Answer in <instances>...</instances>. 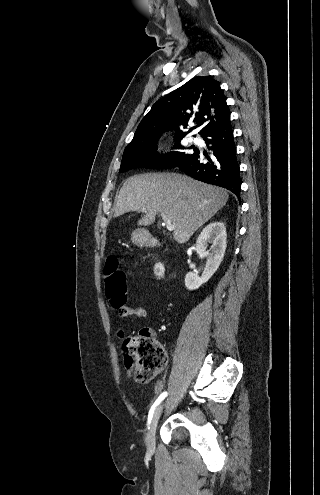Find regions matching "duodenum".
<instances>
[{"instance_id": "obj_1", "label": "duodenum", "mask_w": 320, "mask_h": 495, "mask_svg": "<svg viewBox=\"0 0 320 495\" xmlns=\"http://www.w3.org/2000/svg\"><path fill=\"white\" fill-rule=\"evenodd\" d=\"M145 239H146V240H148V241L150 240V238H149L148 236H145ZM152 242H153V243H156V240H154V241H152Z\"/></svg>"}]
</instances>
